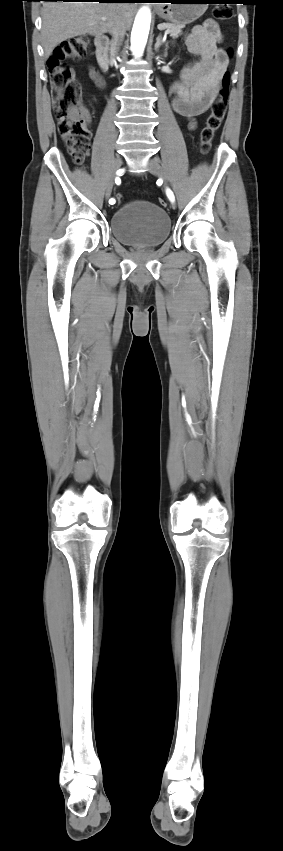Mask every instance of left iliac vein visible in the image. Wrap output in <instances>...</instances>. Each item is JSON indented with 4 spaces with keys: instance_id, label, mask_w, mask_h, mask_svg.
<instances>
[{
    "instance_id": "4c4485c4",
    "label": "left iliac vein",
    "mask_w": 283,
    "mask_h": 851,
    "mask_svg": "<svg viewBox=\"0 0 283 851\" xmlns=\"http://www.w3.org/2000/svg\"><path fill=\"white\" fill-rule=\"evenodd\" d=\"M147 169L149 170V172L151 174L158 176V177H161L164 180L165 187L166 188L168 187L166 174H165L164 170L162 169V167L160 166L158 160L149 159L148 162H147ZM171 206H172V208H175L174 201L171 202Z\"/></svg>"
}]
</instances>
